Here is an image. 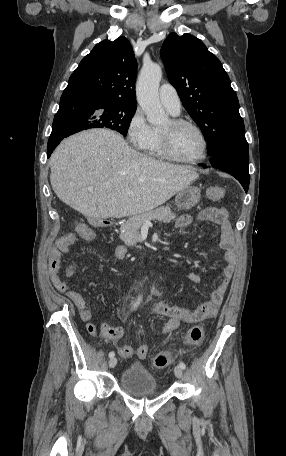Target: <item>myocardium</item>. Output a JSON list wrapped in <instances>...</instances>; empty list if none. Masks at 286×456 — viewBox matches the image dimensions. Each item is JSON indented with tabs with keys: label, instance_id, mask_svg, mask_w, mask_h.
I'll return each instance as SVG.
<instances>
[{
	"label": "myocardium",
	"instance_id": "1",
	"mask_svg": "<svg viewBox=\"0 0 286 456\" xmlns=\"http://www.w3.org/2000/svg\"><path fill=\"white\" fill-rule=\"evenodd\" d=\"M171 123L174 127H190L194 129L199 136L201 137L202 143H203V151L200 157L195 158V159H183L178 157L172 150L171 147V139L169 134L162 132L159 130V143H160V150L164 158L169 159L171 161L183 163V164H200L203 161L206 160L208 156V151H209V141L208 138L205 134V132L202 130V128L197 125L196 123L182 119V118H172Z\"/></svg>",
	"mask_w": 286,
	"mask_h": 456
}]
</instances>
